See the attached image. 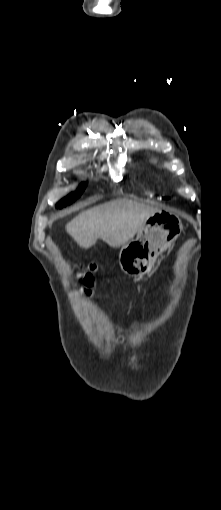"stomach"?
<instances>
[{
  "label": "stomach",
  "instance_id": "obj_1",
  "mask_svg": "<svg viewBox=\"0 0 221 510\" xmlns=\"http://www.w3.org/2000/svg\"><path fill=\"white\" fill-rule=\"evenodd\" d=\"M182 230L181 219L173 213L159 211L150 216L136 239L121 247L119 265L122 271L132 277L148 274L158 256L176 241Z\"/></svg>",
  "mask_w": 221,
  "mask_h": 510
}]
</instances>
